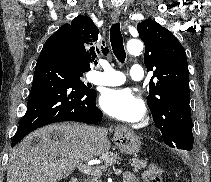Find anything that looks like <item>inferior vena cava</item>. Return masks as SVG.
<instances>
[{
    "label": "inferior vena cava",
    "instance_id": "obj_1",
    "mask_svg": "<svg viewBox=\"0 0 211 182\" xmlns=\"http://www.w3.org/2000/svg\"><path fill=\"white\" fill-rule=\"evenodd\" d=\"M92 133L93 134H100V129H93L92 130Z\"/></svg>",
    "mask_w": 211,
    "mask_h": 182
}]
</instances>
